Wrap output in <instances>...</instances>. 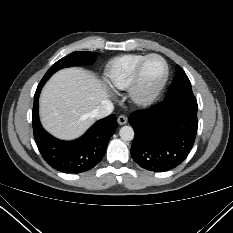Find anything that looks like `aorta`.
<instances>
[{
    "instance_id": "1",
    "label": "aorta",
    "mask_w": 233,
    "mask_h": 233,
    "mask_svg": "<svg viewBox=\"0 0 233 233\" xmlns=\"http://www.w3.org/2000/svg\"><path fill=\"white\" fill-rule=\"evenodd\" d=\"M119 135L124 141H131L134 138V130L131 126H123L119 131Z\"/></svg>"
}]
</instances>
